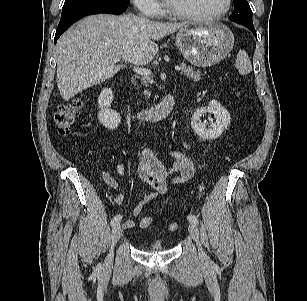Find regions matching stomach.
<instances>
[{
    "instance_id": "0dacf381",
    "label": "stomach",
    "mask_w": 307,
    "mask_h": 301,
    "mask_svg": "<svg viewBox=\"0 0 307 301\" xmlns=\"http://www.w3.org/2000/svg\"><path fill=\"white\" fill-rule=\"evenodd\" d=\"M234 35L218 22L189 23L176 34V46L187 61L198 67L219 63L232 50Z\"/></svg>"
}]
</instances>
